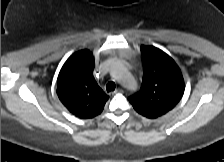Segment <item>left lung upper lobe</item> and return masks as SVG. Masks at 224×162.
<instances>
[{"label": "left lung upper lobe", "mask_w": 224, "mask_h": 162, "mask_svg": "<svg viewBox=\"0 0 224 162\" xmlns=\"http://www.w3.org/2000/svg\"><path fill=\"white\" fill-rule=\"evenodd\" d=\"M144 76L138 93L128 100L147 118H157L173 109L183 96V76L174 60L153 46L141 47Z\"/></svg>", "instance_id": "left-lung-upper-lobe-1"}]
</instances>
